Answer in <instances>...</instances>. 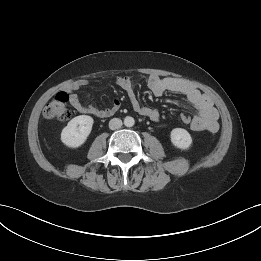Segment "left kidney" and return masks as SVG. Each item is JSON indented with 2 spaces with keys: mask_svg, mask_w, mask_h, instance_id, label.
<instances>
[{
  "mask_svg": "<svg viewBox=\"0 0 261 261\" xmlns=\"http://www.w3.org/2000/svg\"><path fill=\"white\" fill-rule=\"evenodd\" d=\"M172 144L182 150H187L192 145V138L187 130L175 128L170 134Z\"/></svg>",
  "mask_w": 261,
  "mask_h": 261,
  "instance_id": "obj_1",
  "label": "left kidney"
}]
</instances>
